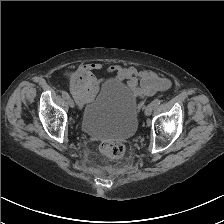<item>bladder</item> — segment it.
Returning <instances> with one entry per match:
<instances>
[{
	"label": "bladder",
	"instance_id": "bladder-1",
	"mask_svg": "<svg viewBox=\"0 0 224 224\" xmlns=\"http://www.w3.org/2000/svg\"><path fill=\"white\" fill-rule=\"evenodd\" d=\"M138 126L135 99L118 82L106 81L94 99L82 110L80 127L95 138L126 140L134 136Z\"/></svg>",
	"mask_w": 224,
	"mask_h": 224
}]
</instances>
